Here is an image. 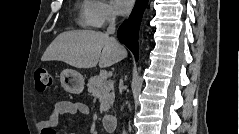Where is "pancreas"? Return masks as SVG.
Masks as SVG:
<instances>
[{"label": "pancreas", "instance_id": "1", "mask_svg": "<svg viewBox=\"0 0 239 134\" xmlns=\"http://www.w3.org/2000/svg\"><path fill=\"white\" fill-rule=\"evenodd\" d=\"M88 92L99 99L100 112H106L114 101V84L112 81L101 80L100 76L91 77L87 84Z\"/></svg>", "mask_w": 239, "mask_h": 134}]
</instances>
